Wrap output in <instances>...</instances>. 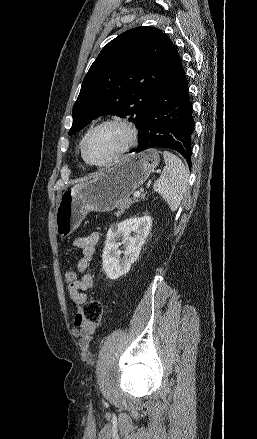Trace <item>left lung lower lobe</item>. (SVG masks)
<instances>
[{
    "mask_svg": "<svg viewBox=\"0 0 257 439\" xmlns=\"http://www.w3.org/2000/svg\"><path fill=\"white\" fill-rule=\"evenodd\" d=\"M194 126L186 76L178 55L142 120L138 147L130 152L169 148L179 152L191 166Z\"/></svg>",
    "mask_w": 257,
    "mask_h": 439,
    "instance_id": "left-lung-lower-lobe-1",
    "label": "left lung lower lobe"
}]
</instances>
